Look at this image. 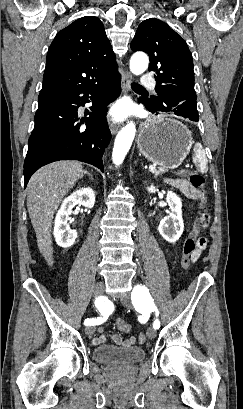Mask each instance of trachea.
<instances>
[{
    "mask_svg": "<svg viewBox=\"0 0 243 409\" xmlns=\"http://www.w3.org/2000/svg\"><path fill=\"white\" fill-rule=\"evenodd\" d=\"M132 87L137 88V89H144L142 86H140L139 84H136V83H132Z\"/></svg>",
    "mask_w": 243,
    "mask_h": 409,
    "instance_id": "trachea-1",
    "label": "trachea"
}]
</instances>
